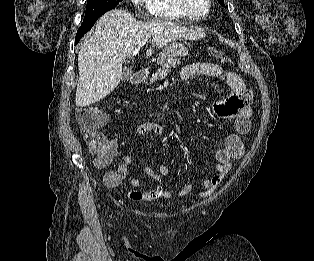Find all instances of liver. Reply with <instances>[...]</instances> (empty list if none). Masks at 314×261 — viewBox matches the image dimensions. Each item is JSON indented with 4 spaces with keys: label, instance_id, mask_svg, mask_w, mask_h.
Segmentation results:
<instances>
[{
    "label": "liver",
    "instance_id": "liver-1",
    "mask_svg": "<svg viewBox=\"0 0 314 261\" xmlns=\"http://www.w3.org/2000/svg\"><path fill=\"white\" fill-rule=\"evenodd\" d=\"M203 34L163 20L141 22L122 9L105 13L93 35L85 37L78 54L76 105L85 107L109 95L122 79V64L143 40L161 48L178 39L196 40ZM153 53L152 49L147 54Z\"/></svg>",
    "mask_w": 314,
    "mask_h": 261
}]
</instances>
